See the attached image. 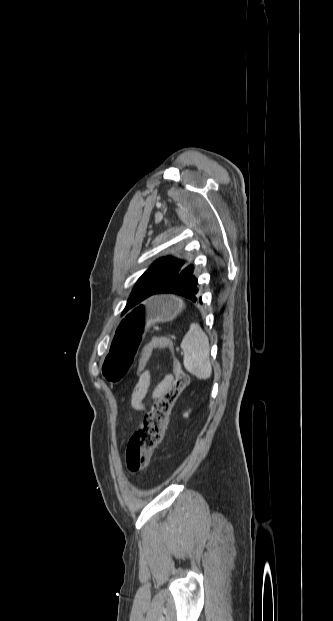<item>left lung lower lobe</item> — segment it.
Segmentation results:
<instances>
[{
  "label": "left lung lower lobe",
  "instance_id": "left-lung-lower-lobe-1",
  "mask_svg": "<svg viewBox=\"0 0 333 621\" xmlns=\"http://www.w3.org/2000/svg\"><path fill=\"white\" fill-rule=\"evenodd\" d=\"M157 294H177L193 302L198 300L201 302V297L198 295V280L193 275V269L181 273L176 278L164 284L154 295Z\"/></svg>",
  "mask_w": 333,
  "mask_h": 621
}]
</instances>
